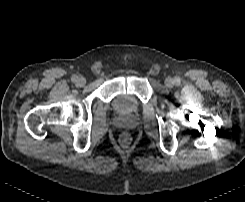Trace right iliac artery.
I'll use <instances>...</instances> for the list:
<instances>
[{
    "instance_id": "right-iliac-artery-1",
    "label": "right iliac artery",
    "mask_w": 245,
    "mask_h": 202,
    "mask_svg": "<svg viewBox=\"0 0 245 202\" xmlns=\"http://www.w3.org/2000/svg\"><path fill=\"white\" fill-rule=\"evenodd\" d=\"M77 79H78V77H77L76 75H73V76L71 77L72 82H76Z\"/></svg>"
}]
</instances>
